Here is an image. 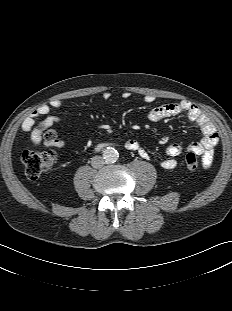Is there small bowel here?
Returning <instances> with one entry per match:
<instances>
[{"label": "small bowel", "instance_id": "c3829d8e", "mask_svg": "<svg viewBox=\"0 0 232 311\" xmlns=\"http://www.w3.org/2000/svg\"><path fill=\"white\" fill-rule=\"evenodd\" d=\"M110 94L108 92L103 93L105 100L109 99ZM124 98L129 97V93H124ZM146 103H152L155 97L151 94L144 96ZM64 105V100L61 98H55L40 105L35 111L29 114L22 122V131L29 134L31 144L38 146L44 144L48 147L61 149L65 147L69 140L54 138L52 140H43V132L48 127L57 124L62 121V117L59 115L51 114L52 109H60ZM179 115H186L187 119L196 124L203 138L190 144L186 148L177 143H172L166 147L167 158L160 161V166L166 170H172L176 167V157L181 155L184 151H192L201 156L202 164L205 168H209L214 160V148L219 141V134L215 126L209 120V118L202 113V111L195 105H191L187 102L167 103L152 108L147 118L151 122H157L167 117H174ZM43 116L42 122L37 125L39 117ZM125 147L128 150L136 151L143 159L149 158V153L142 147L141 143L136 139H129L125 143Z\"/></svg>", "mask_w": 232, "mask_h": 311}]
</instances>
